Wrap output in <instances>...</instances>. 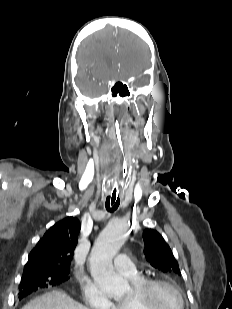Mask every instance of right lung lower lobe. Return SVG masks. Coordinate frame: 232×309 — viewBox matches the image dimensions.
Instances as JSON below:
<instances>
[{
	"instance_id": "obj_1",
	"label": "right lung lower lobe",
	"mask_w": 232,
	"mask_h": 309,
	"mask_svg": "<svg viewBox=\"0 0 232 309\" xmlns=\"http://www.w3.org/2000/svg\"><path fill=\"white\" fill-rule=\"evenodd\" d=\"M37 288L33 287V286H24L22 289H20L19 292V298L22 299L26 296H28L29 294H31L33 291H36Z\"/></svg>"
}]
</instances>
